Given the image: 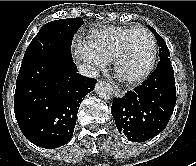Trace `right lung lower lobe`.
<instances>
[{
  "mask_svg": "<svg viewBox=\"0 0 196 166\" xmlns=\"http://www.w3.org/2000/svg\"><path fill=\"white\" fill-rule=\"evenodd\" d=\"M77 72L72 59L56 55L22 61L14 111L20 130L33 144L53 149L72 138L82 98L96 84Z\"/></svg>",
  "mask_w": 196,
  "mask_h": 166,
  "instance_id": "1",
  "label": "right lung lower lobe"
}]
</instances>
